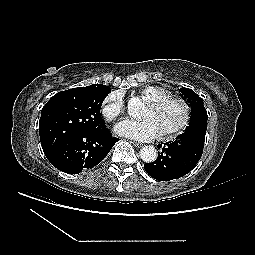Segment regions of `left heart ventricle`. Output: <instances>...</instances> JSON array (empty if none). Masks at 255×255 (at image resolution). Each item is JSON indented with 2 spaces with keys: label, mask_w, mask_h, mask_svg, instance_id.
Masks as SVG:
<instances>
[{
  "label": "left heart ventricle",
  "mask_w": 255,
  "mask_h": 255,
  "mask_svg": "<svg viewBox=\"0 0 255 255\" xmlns=\"http://www.w3.org/2000/svg\"><path fill=\"white\" fill-rule=\"evenodd\" d=\"M141 117L144 119L154 118L163 133L179 124L182 119V111L176 105L155 109L152 105L148 104Z\"/></svg>",
  "instance_id": "obj_1"
}]
</instances>
